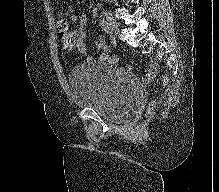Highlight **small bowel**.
Here are the masks:
<instances>
[{
  "label": "small bowel",
  "mask_w": 219,
  "mask_h": 192,
  "mask_svg": "<svg viewBox=\"0 0 219 192\" xmlns=\"http://www.w3.org/2000/svg\"><path fill=\"white\" fill-rule=\"evenodd\" d=\"M74 29L68 30V28H59L62 32V40L64 43V48L67 50L76 49L80 54L86 56L88 61H92V57L87 55L86 49V24L87 16L85 14L73 15L70 18ZM71 40L72 45L69 48L68 41ZM95 47L100 51V56L98 60L100 62L106 63L110 62L109 49L103 37H98L95 40ZM126 70H131L130 65H125ZM158 71V64L155 61L149 63L148 71L144 77L145 82H151L155 78Z\"/></svg>",
  "instance_id": "c3829d8e"
}]
</instances>
